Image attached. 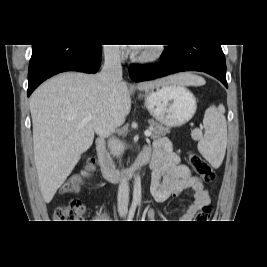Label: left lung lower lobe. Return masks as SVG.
<instances>
[{"mask_svg":"<svg viewBox=\"0 0 267 267\" xmlns=\"http://www.w3.org/2000/svg\"><path fill=\"white\" fill-rule=\"evenodd\" d=\"M161 58L153 65H131L129 73L132 80L140 82L182 71H200L216 77L227 87L226 62L220 45L171 44Z\"/></svg>","mask_w":267,"mask_h":267,"instance_id":"obj_1","label":"left lung lower lobe"}]
</instances>
